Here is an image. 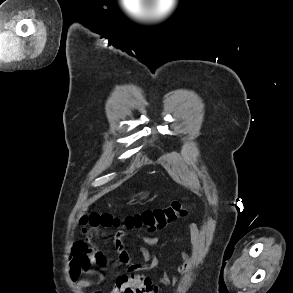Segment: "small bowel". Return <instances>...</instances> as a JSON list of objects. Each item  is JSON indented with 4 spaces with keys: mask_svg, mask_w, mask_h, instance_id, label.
Listing matches in <instances>:
<instances>
[{
    "mask_svg": "<svg viewBox=\"0 0 293 293\" xmlns=\"http://www.w3.org/2000/svg\"><path fill=\"white\" fill-rule=\"evenodd\" d=\"M166 226V225H165ZM148 230L147 234L138 233L132 235L128 231H118L107 237L106 241L112 245L111 248L101 247L96 237H86L74 242L71 246V256L69 259L68 277L78 290L92 288L104 282L105 274L115 271L120 266H126L130 270L142 271L144 269H154L158 266L159 260L154 254L143 246L138 245V250L142 256V264H134L124 245V240L129 237L142 240L150 246H157L159 240L151 234L165 228ZM191 250H181L179 253L181 263L175 266L177 273H183L185 269L200 254V230L194 223L188 225ZM81 275L90 276V279H80ZM160 285L168 286L176 283V278L163 273L159 277ZM157 284L140 273L133 275H118L114 285L108 291L95 290L92 293H156Z\"/></svg>",
    "mask_w": 293,
    "mask_h": 293,
    "instance_id": "c3829d8e",
    "label": "small bowel"
}]
</instances>
